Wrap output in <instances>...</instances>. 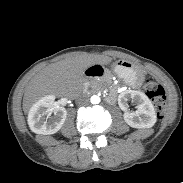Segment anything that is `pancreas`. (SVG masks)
Returning a JSON list of instances; mask_svg holds the SVG:
<instances>
[{
    "label": "pancreas",
    "mask_w": 183,
    "mask_h": 183,
    "mask_svg": "<svg viewBox=\"0 0 183 183\" xmlns=\"http://www.w3.org/2000/svg\"><path fill=\"white\" fill-rule=\"evenodd\" d=\"M91 86H92L93 88H96V87L98 86V82H97V81L91 82Z\"/></svg>",
    "instance_id": "obj_1"
}]
</instances>
